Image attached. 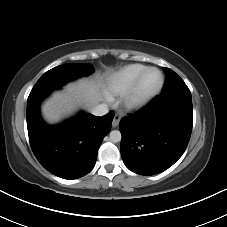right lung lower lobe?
Masks as SVG:
<instances>
[{
    "label": "right lung lower lobe",
    "instance_id": "right-lung-lower-lobe-1",
    "mask_svg": "<svg viewBox=\"0 0 227 227\" xmlns=\"http://www.w3.org/2000/svg\"><path fill=\"white\" fill-rule=\"evenodd\" d=\"M50 92L27 101L30 145L46 170L64 179H77L93 169L100 144L111 129L114 114L96 117L82 112L63 124L49 126L40 116V104Z\"/></svg>",
    "mask_w": 227,
    "mask_h": 227
}]
</instances>
